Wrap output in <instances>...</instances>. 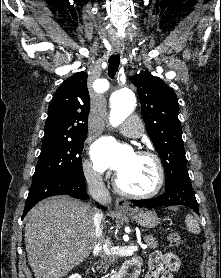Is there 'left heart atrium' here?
Wrapping results in <instances>:
<instances>
[{
  "mask_svg": "<svg viewBox=\"0 0 221 278\" xmlns=\"http://www.w3.org/2000/svg\"><path fill=\"white\" fill-rule=\"evenodd\" d=\"M133 155L129 146L118 144L108 137L99 139L91 149L94 165L99 171L111 169L120 172Z\"/></svg>",
  "mask_w": 221,
  "mask_h": 278,
  "instance_id": "obj_1",
  "label": "left heart atrium"
}]
</instances>
